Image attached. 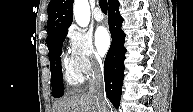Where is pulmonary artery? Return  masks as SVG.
I'll return each instance as SVG.
<instances>
[{"label":"pulmonary artery","mask_w":193,"mask_h":112,"mask_svg":"<svg viewBox=\"0 0 193 112\" xmlns=\"http://www.w3.org/2000/svg\"><path fill=\"white\" fill-rule=\"evenodd\" d=\"M94 18L96 21H102L104 19V14L99 8L94 10Z\"/></svg>","instance_id":"pulmonary-artery-1"}]
</instances>
